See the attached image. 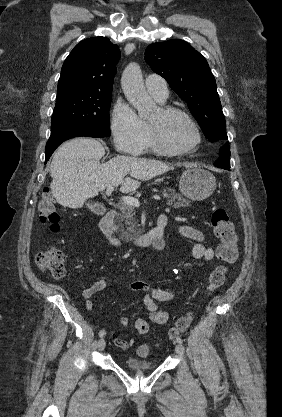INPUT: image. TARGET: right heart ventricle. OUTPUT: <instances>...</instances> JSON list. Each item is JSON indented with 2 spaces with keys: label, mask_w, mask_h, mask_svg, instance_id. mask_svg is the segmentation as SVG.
Wrapping results in <instances>:
<instances>
[{
  "label": "right heart ventricle",
  "mask_w": 282,
  "mask_h": 417,
  "mask_svg": "<svg viewBox=\"0 0 282 417\" xmlns=\"http://www.w3.org/2000/svg\"><path fill=\"white\" fill-rule=\"evenodd\" d=\"M147 146H149V147H151V148H153V149H155V150H159V149H160V148L158 147V145L156 144V142H155V140H154V138H153V135H152V133H151L150 129H149V136H148V143H147Z\"/></svg>",
  "instance_id": "e07e8e85"
}]
</instances>
